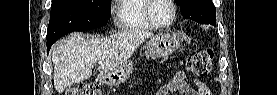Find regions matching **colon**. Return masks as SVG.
I'll use <instances>...</instances> for the list:
<instances>
[{
    "mask_svg": "<svg viewBox=\"0 0 277 95\" xmlns=\"http://www.w3.org/2000/svg\"><path fill=\"white\" fill-rule=\"evenodd\" d=\"M214 50L208 48L189 56L186 60L187 68L198 77L206 76L212 69ZM67 95H98L100 88L96 83L76 82L67 90Z\"/></svg>",
    "mask_w": 277,
    "mask_h": 95,
    "instance_id": "1",
    "label": "colon"
}]
</instances>
